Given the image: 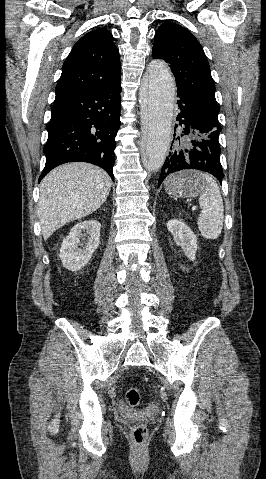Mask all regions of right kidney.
<instances>
[{
	"instance_id": "ca27d5eb",
	"label": "right kidney",
	"mask_w": 266,
	"mask_h": 479,
	"mask_svg": "<svg viewBox=\"0 0 266 479\" xmlns=\"http://www.w3.org/2000/svg\"><path fill=\"white\" fill-rule=\"evenodd\" d=\"M100 228L101 224L98 221L87 220L71 229L60 249V258L66 269L76 272L87 264L99 246Z\"/></svg>"
}]
</instances>
